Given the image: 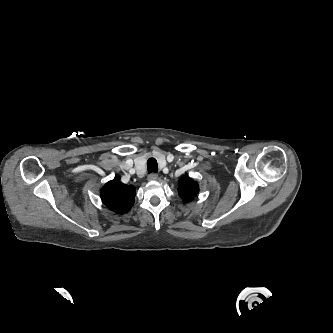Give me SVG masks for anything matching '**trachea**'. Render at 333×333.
<instances>
[{
  "instance_id": "obj_1",
  "label": "trachea",
  "mask_w": 333,
  "mask_h": 333,
  "mask_svg": "<svg viewBox=\"0 0 333 333\" xmlns=\"http://www.w3.org/2000/svg\"><path fill=\"white\" fill-rule=\"evenodd\" d=\"M147 170L148 173H157L158 172V164L155 158H149L147 161Z\"/></svg>"
}]
</instances>
